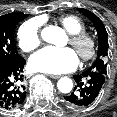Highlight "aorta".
<instances>
[{
  "mask_svg": "<svg viewBox=\"0 0 117 117\" xmlns=\"http://www.w3.org/2000/svg\"><path fill=\"white\" fill-rule=\"evenodd\" d=\"M41 36L44 41L59 45L65 37V32L57 26H48L42 30ZM57 88L61 93H69L73 88V82L70 78L63 77L59 79Z\"/></svg>",
  "mask_w": 117,
  "mask_h": 117,
  "instance_id": "762f6f07",
  "label": "aorta"
}]
</instances>
